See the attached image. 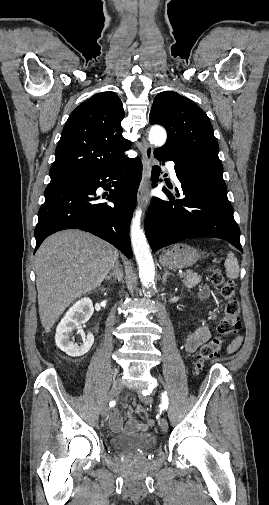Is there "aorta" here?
I'll list each match as a JSON object with an SVG mask.
<instances>
[{"label":"aorta","instance_id":"1","mask_svg":"<svg viewBox=\"0 0 269 505\" xmlns=\"http://www.w3.org/2000/svg\"><path fill=\"white\" fill-rule=\"evenodd\" d=\"M148 139L151 144L161 147L167 140L166 130L161 126H152L148 134ZM141 215L142 210L138 207L134 212L131 222V243L137 260L141 283L143 287L149 289L154 285L155 266L149 244L145 234L141 230Z\"/></svg>","mask_w":269,"mask_h":505}]
</instances>
